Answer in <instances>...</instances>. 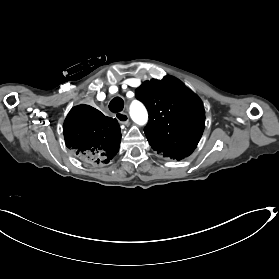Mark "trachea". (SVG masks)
Returning <instances> with one entry per match:
<instances>
[{
    "label": "trachea",
    "mask_w": 279,
    "mask_h": 279,
    "mask_svg": "<svg viewBox=\"0 0 279 279\" xmlns=\"http://www.w3.org/2000/svg\"><path fill=\"white\" fill-rule=\"evenodd\" d=\"M123 108H124V101L120 97H115L109 103V110L111 112L117 113V112L122 111Z\"/></svg>",
    "instance_id": "obj_1"
}]
</instances>
